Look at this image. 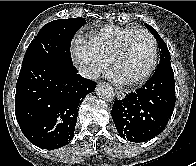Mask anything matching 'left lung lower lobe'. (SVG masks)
<instances>
[{"instance_id":"left-lung-lower-lobe-1","label":"left lung lower lobe","mask_w":196,"mask_h":166,"mask_svg":"<svg viewBox=\"0 0 196 166\" xmlns=\"http://www.w3.org/2000/svg\"><path fill=\"white\" fill-rule=\"evenodd\" d=\"M174 107V73L170 60H164L142 88L115 100L111 114L120 136L139 143L165 129Z\"/></svg>"}]
</instances>
